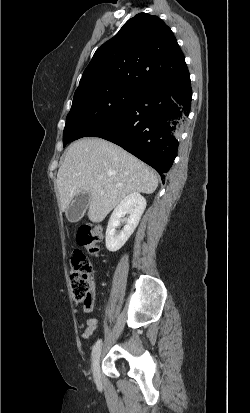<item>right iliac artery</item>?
Returning a JSON list of instances; mask_svg holds the SVG:
<instances>
[{
	"instance_id": "1",
	"label": "right iliac artery",
	"mask_w": 250,
	"mask_h": 413,
	"mask_svg": "<svg viewBox=\"0 0 250 413\" xmlns=\"http://www.w3.org/2000/svg\"><path fill=\"white\" fill-rule=\"evenodd\" d=\"M101 339L100 340H98L95 344H94V346H93V350H92V356L100 349V346H101Z\"/></svg>"
}]
</instances>
